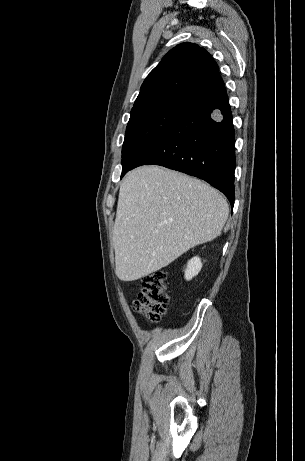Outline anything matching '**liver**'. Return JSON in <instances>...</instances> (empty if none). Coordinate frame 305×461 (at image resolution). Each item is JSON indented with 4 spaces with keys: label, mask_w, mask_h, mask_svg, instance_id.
I'll list each match as a JSON object with an SVG mask.
<instances>
[{
    "label": "liver",
    "mask_w": 305,
    "mask_h": 461,
    "mask_svg": "<svg viewBox=\"0 0 305 461\" xmlns=\"http://www.w3.org/2000/svg\"><path fill=\"white\" fill-rule=\"evenodd\" d=\"M228 214L226 199L196 178L158 166L132 170L120 186L113 228L117 277L138 280L214 240Z\"/></svg>",
    "instance_id": "liver-1"
}]
</instances>
